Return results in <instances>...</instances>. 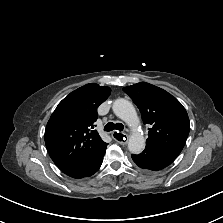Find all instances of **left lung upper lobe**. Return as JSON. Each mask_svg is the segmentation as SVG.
Wrapping results in <instances>:
<instances>
[{
  "instance_id": "5c2ea615",
  "label": "left lung upper lobe",
  "mask_w": 223,
  "mask_h": 223,
  "mask_svg": "<svg viewBox=\"0 0 223 223\" xmlns=\"http://www.w3.org/2000/svg\"><path fill=\"white\" fill-rule=\"evenodd\" d=\"M139 108L144 124H150L146 145L180 154L190 123L182 104L167 91L146 82L123 88Z\"/></svg>"
}]
</instances>
